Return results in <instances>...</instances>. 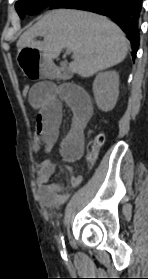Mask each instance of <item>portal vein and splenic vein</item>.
<instances>
[{"instance_id":"18ae733b","label":"portal vein and splenic vein","mask_w":148,"mask_h":279,"mask_svg":"<svg viewBox=\"0 0 148 279\" xmlns=\"http://www.w3.org/2000/svg\"><path fill=\"white\" fill-rule=\"evenodd\" d=\"M71 52H72V49H70V48H67V49H66V53H67V54H70Z\"/></svg>"}]
</instances>
